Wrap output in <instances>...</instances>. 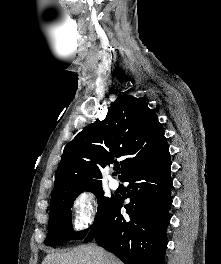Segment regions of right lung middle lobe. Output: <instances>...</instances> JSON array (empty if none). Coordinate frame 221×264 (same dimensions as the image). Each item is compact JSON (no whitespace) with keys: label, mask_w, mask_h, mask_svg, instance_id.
<instances>
[{"label":"right lung middle lobe","mask_w":221,"mask_h":264,"mask_svg":"<svg viewBox=\"0 0 221 264\" xmlns=\"http://www.w3.org/2000/svg\"><path fill=\"white\" fill-rule=\"evenodd\" d=\"M87 191L93 192L97 196L98 200V212L94 223L91 226V229H93L98 225L105 213L111 208L116 197H106L102 186L91 188ZM80 193L81 192L63 196L53 202L50 206L49 231L45 241L47 246H56L67 240H73L75 238L83 239L88 233L89 229L79 231L78 235L73 233L71 207L74 200Z\"/></svg>","instance_id":"right-lung-middle-lobe-1"}]
</instances>
